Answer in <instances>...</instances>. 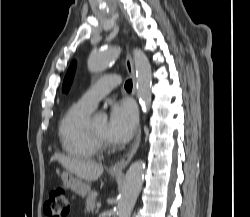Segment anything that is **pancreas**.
I'll return each mask as SVG.
<instances>
[{"label":"pancreas","mask_w":250,"mask_h":217,"mask_svg":"<svg viewBox=\"0 0 250 217\" xmlns=\"http://www.w3.org/2000/svg\"><path fill=\"white\" fill-rule=\"evenodd\" d=\"M96 196H97V192H95V191H91L88 194V196L86 198V202H85V211L92 212V213L94 212Z\"/></svg>","instance_id":"pancreas-1"}]
</instances>
